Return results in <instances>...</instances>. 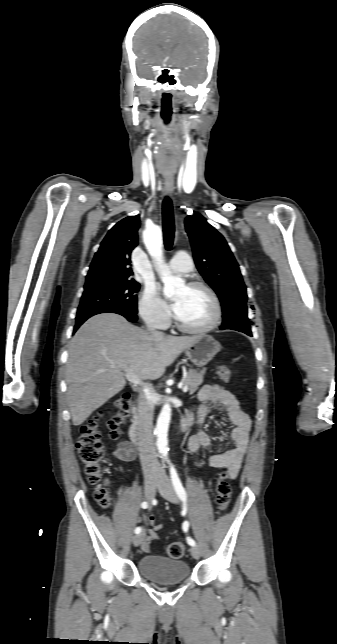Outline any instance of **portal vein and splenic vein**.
<instances>
[{"label":"portal vein and splenic vein","mask_w":337,"mask_h":644,"mask_svg":"<svg viewBox=\"0 0 337 644\" xmlns=\"http://www.w3.org/2000/svg\"><path fill=\"white\" fill-rule=\"evenodd\" d=\"M125 371V377L133 384L135 385H141L142 381L140 378H138L133 372L129 371L128 369H124ZM183 392L188 391V386H183L182 388Z\"/></svg>","instance_id":"1"}]
</instances>
